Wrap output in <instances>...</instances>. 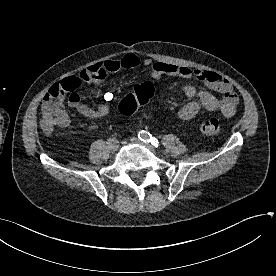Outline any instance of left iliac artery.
<instances>
[{
  "instance_id": "left-iliac-artery-1",
  "label": "left iliac artery",
  "mask_w": 276,
  "mask_h": 276,
  "mask_svg": "<svg viewBox=\"0 0 276 276\" xmlns=\"http://www.w3.org/2000/svg\"><path fill=\"white\" fill-rule=\"evenodd\" d=\"M138 138L143 142L151 143L154 147L160 146V143L158 142V140L152 137V135L147 131H144V130L140 131L138 133Z\"/></svg>"
}]
</instances>
